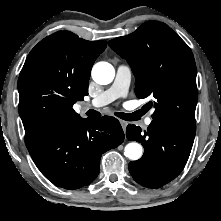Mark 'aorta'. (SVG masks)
<instances>
[{"mask_svg":"<svg viewBox=\"0 0 221 221\" xmlns=\"http://www.w3.org/2000/svg\"><path fill=\"white\" fill-rule=\"evenodd\" d=\"M115 70L107 62H98L93 66L92 78L100 84L106 85L113 81ZM142 146L139 143L131 142L125 146L124 155L131 160H138L142 156Z\"/></svg>","mask_w":221,"mask_h":221,"instance_id":"aorta-1","label":"aorta"}]
</instances>
